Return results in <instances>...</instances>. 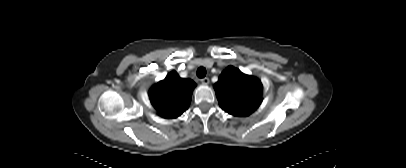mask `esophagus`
Segmentation results:
<instances>
[{"label":"esophagus","instance_id":"esophagus-1","mask_svg":"<svg viewBox=\"0 0 406 168\" xmlns=\"http://www.w3.org/2000/svg\"><path fill=\"white\" fill-rule=\"evenodd\" d=\"M209 82H210V80L207 77L201 79V83L204 84V85H208Z\"/></svg>","mask_w":406,"mask_h":168}]
</instances>
